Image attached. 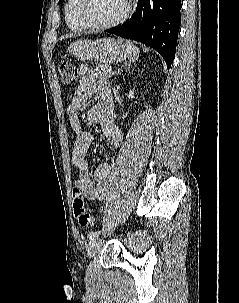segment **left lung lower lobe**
Segmentation results:
<instances>
[{
	"instance_id": "left-lung-lower-lobe-1",
	"label": "left lung lower lobe",
	"mask_w": 239,
	"mask_h": 303,
	"mask_svg": "<svg viewBox=\"0 0 239 303\" xmlns=\"http://www.w3.org/2000/svg\"><path fill=\"white\" fill-rule=\"evenodd\" d=\"M181 0H137L134 15L105 32L136 40L158 51L171 67L181 25Z\"/></svg>"
}]
</instances>
